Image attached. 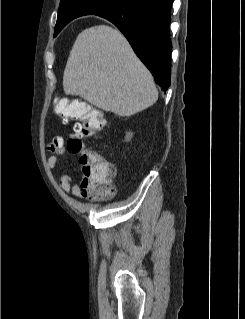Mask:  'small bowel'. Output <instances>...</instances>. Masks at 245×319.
<instances>
[{"mask_svg": "<svg viewBox=\"0 0 245 319\" xmlns=\"http://www.w3.org/2000/svg\"><path fill=\"white\" fill-rule=\"evenodd\" d=\"M64 137L55 136L48 144L47 149L50 151L51 155L48 158V165L51 169L61 166L63 163L62 155L65 153L64 147ZM60 185L66 193H71L75 197L83 196L79 189V186L74 182V180L68 176L63 175L60 177Z\"/></svg>", "mask_w": 245, "mask_h": 319, "instance_id": "small-bowel-1", "label": "small bowel"}]
</instances>
